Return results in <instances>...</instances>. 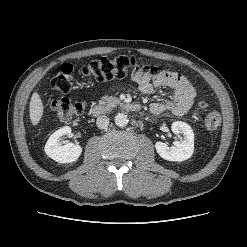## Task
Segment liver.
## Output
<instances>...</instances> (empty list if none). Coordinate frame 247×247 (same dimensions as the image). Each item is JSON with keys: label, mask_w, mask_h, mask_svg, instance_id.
<instances>
[{"label": "liver", "mask_w": 247, "mask_h": 247, "mask_svg": "<svg viewBox=\"0 0 247 247\" xmlns=\"http://www.w3.org/2000/svg\"><path fill=\"white\" fill-rule=\"evenodd\" d=\"M44 113V106L37 92L32 94L29 105V116L33 126L38 125Z\"/></svg>", "instance_id": "liver-1"}]
</instances>
